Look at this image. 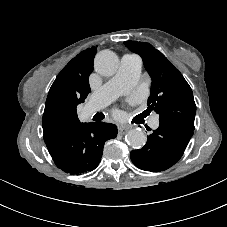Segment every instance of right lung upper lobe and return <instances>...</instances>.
<instances>
[{"label": "right lung upper lobe", "instance_id": "right-lung-upper-lobe-1", "mask_svg": "<svg viewBox=\"0 0 227 227\" xmlns=\"http://www.w3.org/2000/svg\"><path fill=\"white\" fill-rule=\"evenodd\" d=\"M96 52L95 47L80 52L61 70L53 82L47 96L42 119L43 138L46 146L82 124L78 119L76 107L79 103L84 102L90 92L88 78L93 71ZM58 106L75 110L76 115L69 124L59 126L52 122L51 113Z\"/></svg>", "mask_w": 227, "mask_h": 227}]
</instances>
